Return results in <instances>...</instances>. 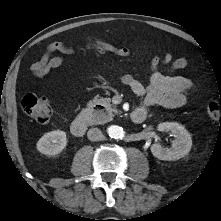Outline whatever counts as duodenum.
<instances>
[{
  "label": "duodenum",
  "instance_id": "duodenum-1",
  "mask_svg": "<svg viewBox=\"0 0 221 221\" xmlns=\"http://www.w3.org/2000/svg\"><path fill=\"white\" fill-rule=\"evenodd\" d=\"M147 112L142 109H136L130 113V120L139 124L142 123L146 118ZM87 130V122L83 116L77 117L71 124V131L75 136L81 137Z\"/></svg>",
  "mask_w": 221,
  "mask_h": 221
}]
</instances>
